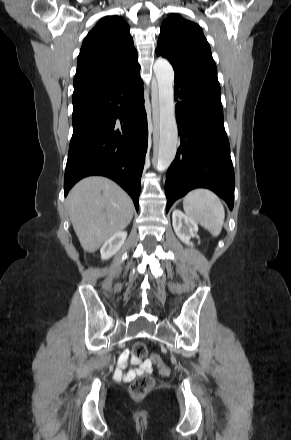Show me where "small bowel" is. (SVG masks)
I'll list each match as a JSON object with an SVG mask.
<instances>
[{
  "label": "small bowel",
  "instance_id": "c3829d8e",
  "mask_svg": "<svg viewBox=\"0 0 291 440\" xmlns=\"http://www.w3.org/2000/svg\"><path fill=\"white\" fill-rule=\"evenodd\" d=\"M129 363H131L135 367L132 369H127ZM152 371L153 365L150 360L141 361L136 358H130V352L126 350L119 357L116 376L124 379H130L138 375L151 373Z\"/></svg>",
  "mask_w": 291,
  "mask_h": 440
}]
</instances>
